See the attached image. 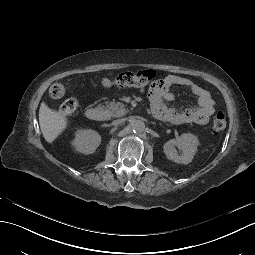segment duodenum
<instances>
[{"instance_id":"obj_1","label":"duodenum","mask_w":255,"mask_h":255,"mask_svg":"<svg viewBox=\"0 0 255 255\" xmlns=\"http://www.w3.org/2000/svg\"><path fill=\"white\" fill-rule=\"evenodd\" d=\"M152 114L157 120L163 122H169L171 118L170 113L162 107L152 108ZM86 116L93 121H103L106 118V113L100 107H90L86 111Z\"/></svg>"}]
</instances>
